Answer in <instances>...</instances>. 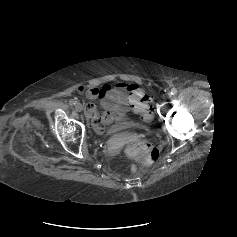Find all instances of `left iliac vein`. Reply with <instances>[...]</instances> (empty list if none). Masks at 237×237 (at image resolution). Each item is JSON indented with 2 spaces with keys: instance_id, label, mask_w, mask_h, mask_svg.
Masks as SVG:
<instances>
[{
  "instance_id": "1",
  "label": "left iliac vein",
  "mask_w": 237,
  "mask_h": 237,
  "mask_svg": "<svg viewBox=\"0 0 237 237\" xmlns=\"http://www.w3.org/2000/svg\"><path fill=\"white\" fill-rule=\"evenodd\" d=\"M166 97H171L170 93H167V94H166Z\"/></svg>"
}]
</instances>
